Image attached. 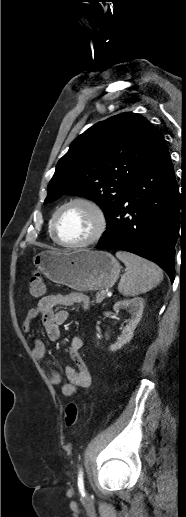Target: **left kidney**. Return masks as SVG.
Listing matches in <instances>:
<instances>
[{
    "instance_id": "left-kidney-1",
    "label": "left kidney",
    "mask_w": 186,
    "mask_h": 517,
    "mask_svg": "<svg viewBox=\"0 0 186 517\" xmlns=\"http://www.w3.org/2000/svg\"><path fill=\"white\" fill-rule=\"evenodd\" d=\"M122 309H126L131 314V318L124 327L120 337H118L117 342L109 347L111 351L119 350L124 344L132 339L133 332L142 317L144 299L141 297H135L130 300L118 301L113 306V310L116 312H119Z\"/></svg>"
}]
</instances>
